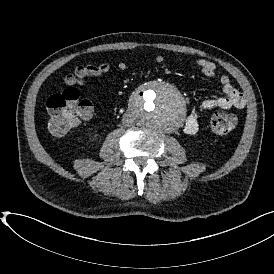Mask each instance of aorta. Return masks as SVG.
<instances>
[{
  "instance_id": "762f6f07",
  "label": "aorta",
  "mask_w": 274,
  "mask_h": 274,
  "mask_svg": "<svg viewBox=\"0 0 274 274\" xmlns=\"http://www.w3.org/2000/svg\"><path fill=\"white\" fill-rule=\"evenodd\" d=\"M130 112L138 125L159 132L174 131L186 115L182 94L161 80L145 84L132 96Z\"/></svg>"
}]
</instances>
